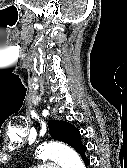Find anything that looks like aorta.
<instances>
[{"label": "aorta", "instance_id": "aorta-1", "mask_svg": "<svg viewBox=\"0 0 127 168\" xmlns=\"http://www.w3.org/2000/svg\"><path fill=\"white\" fill-rule=\"evenodd\" d=\"M37 157L42 160H53L62 168H85L79 155L69 146L59 142L40 146Z\"/></svg>", "mask_w": 127, "mask_h": 168}]
</instances>
